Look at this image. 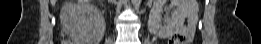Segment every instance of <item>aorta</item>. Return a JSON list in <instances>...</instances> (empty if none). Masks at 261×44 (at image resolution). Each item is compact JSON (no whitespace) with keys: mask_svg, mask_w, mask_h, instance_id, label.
I'll return each mask as SVG.
<instances>
[{"mask_svg":"<svg viewBox=\"0 0 261 44\" xmlns=\"http://www.w3.org/2000/svg\"><path fill=\"white\" fill-rule=\"evenodd\" d=\"M141 0H133L134 8L137 10L140 6Z\"/></svg>","mask_w":261,"mask_h":44,"instance_id":"762f6f07","label":"aorta"}]
</instances>
